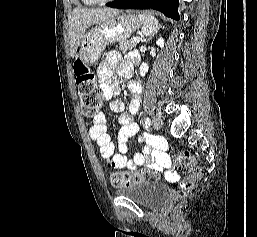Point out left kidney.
I'll return each mask as SVG.
<instances>
[{"label": "left kidney", "instance_id": "5707ae66", "mask_svg": "<svg viewBox=\"0 0 257 237\" xmlns=\"http://www.w3.org/2000/svg\"><path fill=\"white\" fill-rule=\"evenodd\" d=\"M156 44H157L159 47L163 48V47H164V39L160 37V38L156 41ZM148 69H149L148 64H147V63H142V64L140 65V75H141V76H145V74L148 72Z\"/></svg>", "mask_w": 257, "mask_h": 237}]
</instances>
